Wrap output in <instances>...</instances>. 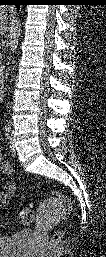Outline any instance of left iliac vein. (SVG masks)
Masks as SVG:
<instances>
[{
  "mask_svg": "<svg viewBox=\"0 0 106 257\" xmlns=\"http://www.w3.org/2000/svg\"><path fill=\"white\" fill-rule=\"evenodd\" d=\"M10 148L13 152H15V146H14V142H13V138H12V134L10 136Z\"/></svg>",
  "mask_w": 106,
  "mask_h": 257,
  "instance_id": "1",
  "label": "left iliac vein"
}]
</instances>
